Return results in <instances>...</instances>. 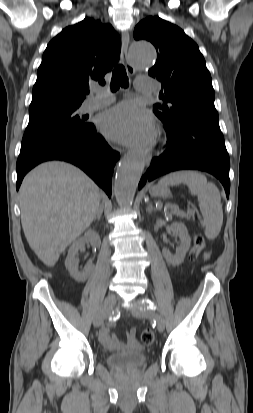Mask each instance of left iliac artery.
I'll use <instances>...</instances> for the list:
<instances>
[{"instance_id": "left-iliac-artery-1", "label": "left iliac artery", "mask_w": 253, "mask_h": 413, "mask_svg": "<svg viewBox=\"0 0 253 413\" xmlns=\"http://www.w3.org/2000/svg\"><path fill=\"white\" fill-rule=\"evenodd\" d=\"M142 303L148 308V309H156V305L149 300L148 298H144L142 300Z\"/></svg>"}]
</instances>
